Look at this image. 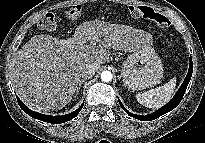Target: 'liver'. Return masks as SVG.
Wrapping results in <instances>:
<instances>
[{
  "instance_id": "1",
  "label": "liver",
  "mask_w": 205,
  "mask_h": 143,
  "mask_svg": "<svg viewBox=\"0 0 205 143\" xmlns=\"http://www.w3.org/2000/svg\"><path fill=\"white\" fill-rule=\"evenodd\" d=\"M152 43L144 30L98 19L79 25L67 40L36 35L12 59L13 87L32 110H58L71 101L87 64L108 62L110 49L130 53Z\"/></svg>"
}]
</instances>
